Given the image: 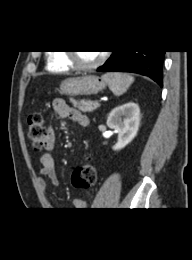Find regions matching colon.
I'll list each match as a JSON object with an SVG mask.
<instances>
[{"mask_svg": "<svg viewBox=\"0 0 192 260\" xmlns=\"http://www.w3.org/2000/svg\"><path fill=\"white\" fill-rule=\"evenodd\" d=\"M47 129L44 119L40 113H32L28 117V137L35 151H41L47 145ZM97 178L96 167L87 161L78 166L72 174V184L78 189H88L92 187Z\"/></svg>", "mask_w": 192, "mask_h": 260, "instance_id": "obj_1", "label": "colon"}]
</instances>
